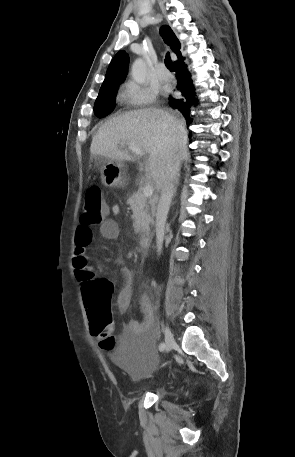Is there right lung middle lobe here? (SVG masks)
Segmentation results:
<instances>
[{
    "label": "right lung middle lobe",
    "mask_w": 295,
    "mask_h": 457,
    "mask_svg": "<svg viewBox=\"0 0 295 457\" xmlns=\"http://www.w3.org/2000/svg\"><path fill=\"white\" fill-rule=\"evenodd\" d=\"M117 90L118 87L99 91L94 105V113L97 117H105L113 111Z\"/></svg>",
    "instance_id": "obj_1"
}]
</instances>
